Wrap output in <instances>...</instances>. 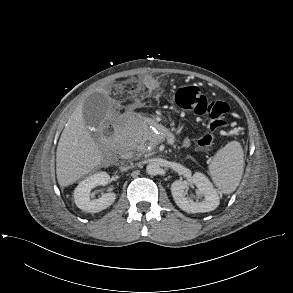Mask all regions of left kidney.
Instances as JSON below:
<instances>
[{
    "label": "left kidney",
    "mask_w": 293,
    "mask_h": 293,
    "mask_svg": "<svg viewBox=\"0 0 293 293\" xmlns=\"http://www.w3.org/2000/svg\"><path fill=\"white\" fill-rule=\"evenodd\" d=\"M193 183L203 194L200 202L185 196V190ZM171 193L177 206L187 213H204L216 209L219 205V195L209 179L196 172L190 180H176L171 185Z\"/></svg>",
    "instance_id": "1"
}]
</instances>
